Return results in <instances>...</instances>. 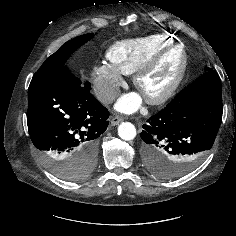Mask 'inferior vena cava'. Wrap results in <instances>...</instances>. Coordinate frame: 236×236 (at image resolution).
Here are the masks:
<instances>
[{"label":"inferior vena cava","mask_w":236,"mask_h":236,"mask_svg":"<svg viewBox=\"0 0 236 236\" xmlns=\"http://www.w3.org/2000/svg\"><path fill=\"white\" fill-rule=\"evenodd\" d=\"M119 96L118 89H111L99 96V100L105 104L113 102Z\"/></svg>","instance_id":"602c4592"}]
</instances>
